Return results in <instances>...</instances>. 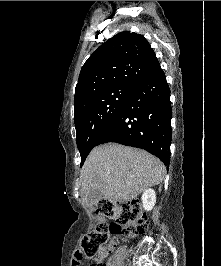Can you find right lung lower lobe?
<instances>
[{
  "mask_svg": "<svg viewBox=\"0 0 221 266\" xmlns=\"http://www.w3.org/2000/svg\"><path fill=\"white\" fill-rule=\"evenodd\" d=\"M171 116L170 89L160 67L133 87L121 112L99 136L96 146L116 142L141 148L169 166Z\"/></svg>",
  "mask_w": 221,
  "mask_h": 266,
  "instance_id": "98d812e1",
  "label": "right lung lower lobe"
}]
</instances>
